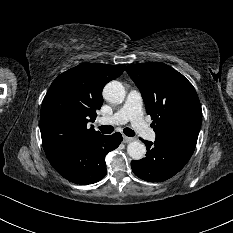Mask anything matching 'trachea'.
<instances>
[{
	"instance_id": "1",
	"label": "trachea",
	"mask_w": 233,
	"mask_h": 233,
	"mask_svg": "<svg viewBox=\"0 0 233 233\" xmlns=\"http://www.w3.org/2000/svg\"><path fill=\"white\" fill-rule=\"evenodd\" d=\"M99 129L104 134H110L114 131V127L108 126V125H101L99 126ZM123 132L126 136H129V137H132L135 135V132L130 128H124Z\"/></svg>"
}]
</instances>
